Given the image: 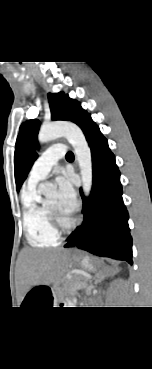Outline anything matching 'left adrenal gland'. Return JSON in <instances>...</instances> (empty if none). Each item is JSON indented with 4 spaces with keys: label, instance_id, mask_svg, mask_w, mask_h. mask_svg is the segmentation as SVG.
Returning a JSON list of instances; mask_svg holds the SVG:
<instances>
[{
    "label": "left adrenal gland",
    "instance_id": "left-adrenal-gland-1",
    "mask_svg": "<svg viewBox=\"0 0 152 369\" xmlns=\"http://www.w3.org/2000/svg\"><path fill=\"white\" fill-rule=\"evenodd\" d=\"M109 270H105L104 272L98 273L95 276V284H98L99 282H101L105 277H107L110 273Z\"/></svg>",
    "mask_w": 152,
    "mask_h": 369
}]
</instances>
